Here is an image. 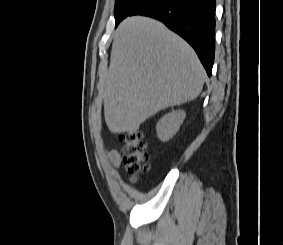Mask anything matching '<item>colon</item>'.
Masks as SVG:
<instances>
[{"instance_id": "1", "label": "colon", "mask_w": 283, "mask_h": 245, "mask_svg": "<svg viewBox=\"0 0 283 245\" xmlns=\"http://www.w3.org/2000/svg\"><path fill=\"white\" fill-rule=\"evenodd\" d=\"M124 143L122 147L123 162L128 174L133 180L148 169L147 146L143 134L139 131L127 132L120 136Z\"/></svg>"}]
</instances>
